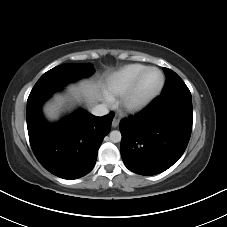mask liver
Here are the masks:
<instances>
[{
    "label": "liver",
    "instance_id": "liver-1",
    "mask_svg": "<svg viewBox=\"0 0 227 227\" xmlns=\"http://www.w3.org/2000/svg\"><path fill=\"white\" fill-rule=\"evenodd\" d=\"M70 92L75 96V98H79L83 96L86 100L91 104L93 103L98 97V86L94 83L90 82H83L79 86L70 87ZM65 102L63 97H57L54 103H51L46 106L45 112L50 118H56L59 112V108Z\"/></svg>",
    "mask_w": 227,
    "mask_h": 227
}]
</instances>
